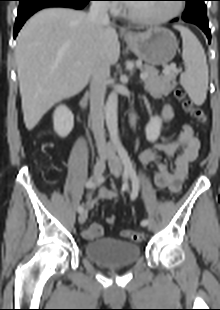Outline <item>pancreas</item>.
I'll use <instances>...</instances> for the list:
<instances>
[{
    "mask_svg": "<svg viewBox=\"0 0 220 310\" xmlns=\"http://www.w3.org/2000/svg\"><path fill=\"white\" fill-rule=\"evenodd\" d=\"M144 72L148 74V77L143 80L145 90L154 98L167 96L177 85L176 71L164 72L163 75H159L156 68L146 65Z\"/></svg>",
    "mask_w": 220,
    "mask_h": 310,
    "instance_id": "cf45deb5",
    "label": "pancreas"
}]
</instances>
